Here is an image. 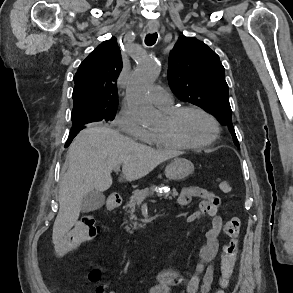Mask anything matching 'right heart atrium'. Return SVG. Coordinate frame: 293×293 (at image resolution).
<instances>
[{
    "label": "right heart atrium",
    "mask_w": 293,
    "mask_h": 293,
    "mask_svg": "<svg viewBox=\"0 0 293 293\" xmlns=\"http://www.w3.org/2000/svg\"><path fill=\"white\" fill-rule=\"evenodd\" d=\"M114 124L120 131L140 141L149 142L153 134L126 108H122L119 111L114 120Z\"/></svg>",
    "instance_id": "d8ad5b80"
}]
</instances>
